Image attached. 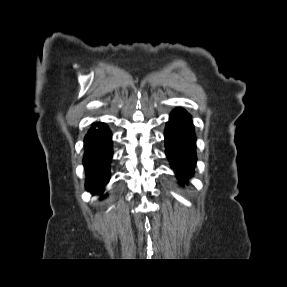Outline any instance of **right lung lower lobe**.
Masks as SVG:
<instances>
[{"instance_id": "right-lung-lower-lobe-1", "label": "right lung lower lobe", "mask_w": 287, "mask_h": 287, "mask_svg": "<svg viewBox=\"0 0 287 287\" xmlns=\"http://www.w3.org/2000/svg\"><path fill=\"white\" fill-rule=\"evenodd\" d=\"M111 136L105 123L95 122L84 139L85 186L94 195L101 194L110 179V163L113 154Z\"/></svg>"}]
</instances>
